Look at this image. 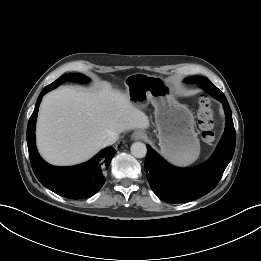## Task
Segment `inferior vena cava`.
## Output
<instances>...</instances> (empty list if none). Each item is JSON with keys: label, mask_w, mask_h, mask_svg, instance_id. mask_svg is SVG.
<instances>
[{"label": "inferior vena cava", "mask_w": 261, "mask_h": 261, "mask_svg": "<svg viewBox=\"0 0 261 261\" xmlns=\"http://www.w3.org/2000/svg\"><path fill=\"white\" fill-rule=\"evenodd\" d=\"M118 134H112L108 136L104 141V146H109L114 144L118 140Z\"/></svg>", "instance_id": "obj_1"}]
</instances>
